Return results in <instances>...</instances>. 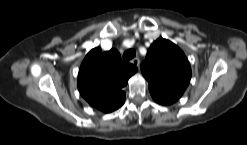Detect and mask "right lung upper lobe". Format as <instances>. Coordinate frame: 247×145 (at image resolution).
I'll return each mask as SVG.
<instances>
[{
	"mask_svg": "<svg viewBox=\"0 0 247 145\" xmlns=\"http://www.w3.org/2000/svg\"><path fill=\"white\" fill-rule=\"evenodd\" d=\"M136 72L137 67L124 63L116 49L102 53L96 47L86 55L81 64L78 89L89 104L109 113L123 105V88Z\"/></svg>",
	"mask_w": 247,
	"mask_h": 145,
	"instance_id": "obj_1",
	"label": "right lung upper lobe"
}]
</instances>
